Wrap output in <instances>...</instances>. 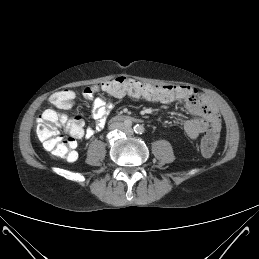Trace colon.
<instances>
[{
    "mask_svg": "<svg viewBox=\"0 0 259 259\" xmlns=\"http://www.w3.org/2000/svg\"><path fill=\"white\" fill-rule=\"evenodd\" d=\"M172 85H155L129 77H117L94 86L111 95L128 94L139 98H161L173 93ZM73 99L70 91L55 92L50 97V102L57 107H67ZM62 126L67 137L61 136L58 127ZM83 131V121L80 116L67 117L55 111H47L37 119L36 133L47 151L56 157L68 161L75 160L76 140ZM218 140V133L210 131L201 141V151L204 156L214 154Z\"/></svg>",
    "mask_w": 259,
    "mask_h": 259,
    "instance_id": "5ec220e1",
    "label": "colon"
}]
</instances>
